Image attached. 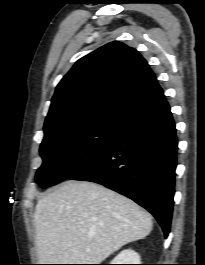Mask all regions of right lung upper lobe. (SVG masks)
I'll return each instance as SVG.
<instances>
[{
  "label": "right lung upper lobe",
  "instance_id": "cb5924a9",
  "mask_svg": "<svg viewBox=\"0 0 205 265\" xmlns=\"http://www.w3.org/2000/svg\"><path fill=\"white\" fill-rule=\"evenodd\" d=\"M147 61L121 42L108 43L78 60L56 87L44 133L111 122L122 124L161 96Z\"/></svg>",
  "mask_w": 205,
  "mask_h": 265
}]
</instances>
